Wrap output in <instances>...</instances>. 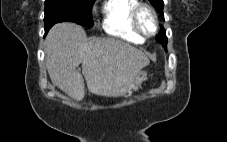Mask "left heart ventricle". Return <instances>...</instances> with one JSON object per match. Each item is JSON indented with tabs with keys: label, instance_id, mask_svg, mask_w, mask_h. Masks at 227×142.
<instances>
[{
	"label": "left heart ventricle",
	"instance_id": "b2bd125f",
	"mask_svg": "<svg viewBox=\"0 0 227 142\" xmlns=\"http://www.w3.org/2000/svg\"><path fill=\"white\" fill-rule=\"evenodd\" d=\"M141 24L145 32L152 33L154 31V23L152 16L148 12H143L141 15Z\"/></svg>",
	"mask_w": 227,
	"mask_h": 142
}]
</instances>
